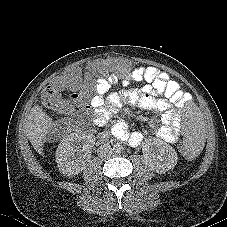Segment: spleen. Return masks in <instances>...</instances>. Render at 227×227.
<instances>
[{
	"mask_svg": "<svg viewBox=\"0 0 227 227\" xmlns=\"http://www.w3.org/2000/svg\"><path fill=\"white\" fill-rule=\"evenodd\" d=\"M182 120V140L185 149L191 153H198L205 146L203 133V119L200 109L193 102H186L179 109Z\"/></svg>",
	"mask_w": 227,
	"mask_h": 227,
	"instance_id": "1",
	"label": "spleen"
}]
</instances>
